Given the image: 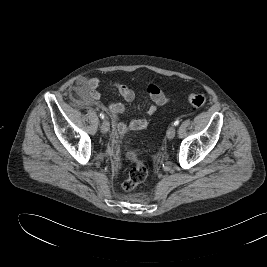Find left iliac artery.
<instances>
[{
  "mask_svg": "<svg viewBox=\"0 0 267 267\" xmlns=\"http://www.w3.org/2000/svg\"><path fill=\"white\" fill-rule=\"evenodd\" d=\"M179 123H180V121H179V120H176V121L174 122V125L177 126Z\"/></svg>",
  "mask_w": 267,
  "mask_h": 267,
  "instance_id": "obj_1",
  "label": "left iliac artery"
}]
</instances>
